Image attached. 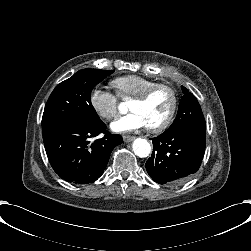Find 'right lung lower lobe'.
I'll return each mask as SVG.
<instances>
[{"mask_svg": "<svg viewBox=\"0 0 251 251\" xmlns=\"http://www.w3.org/2000/svg\"><path fill=\"white\" fill-rule=\"evenodd\" d=\"M105 136L91 142L92 137ZM49 162L64 180L74 184H89L104 172L113 148L123 142L120 135H111L101 122L90 125L68 122L43 133Z\"/></svg>", "mask_w": 251, "mask_h": 251, "instance_id": "1", "label": "right lung lower lobe"}]
</instances>
